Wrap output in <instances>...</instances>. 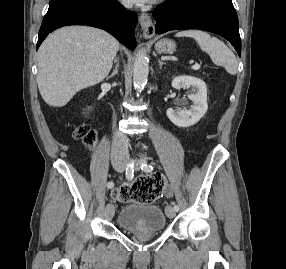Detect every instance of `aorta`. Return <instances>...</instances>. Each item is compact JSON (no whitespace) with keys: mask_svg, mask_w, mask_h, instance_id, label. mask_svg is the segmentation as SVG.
<instances>
[{"mask_svg":"<svg viewBox=\"0 0 286 269\" xmlns=\"http://www.w3.org/2000/svg\"><path fill=\"white\" fill-rule=\"evenodd\" d=\"M149 73L148 59L146 52L140 50L133 65V83L137 92H141L147 83Z\"/></svg>","mask_w":286,"mask_h":269,"instance_id":"obj_1","label":"aorta"}]
</instances>
